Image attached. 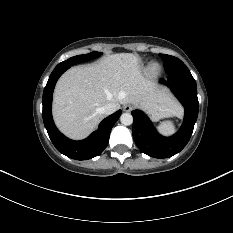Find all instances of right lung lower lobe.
Segmentation results:
<instances>
[{
	"label": "right lung lower lobe",
	"mask_w": 233,
	"mask_h": 233,
	"mask_svg": "<svg viewBox=\"0 0 233 233\" xmlns=\"http://www.w3.org/2000/svg\"><path fill=\"white\" fill-rule=\"evenodd\" d=\"M69 68L70 66L55 67L49 77L42 99L43 121L53 145L59 152L75 160H87L98 156L106 148L111 129L118 120L121 110L105 118L100 123L98 129L82 141L70 140L60 133L52 118V95L58 78Z\"/></svg>",
	"instance_id": "right-lung-lower-lobe-1"
}]
</instances>
